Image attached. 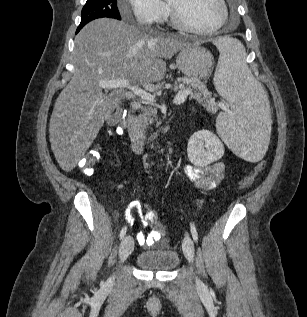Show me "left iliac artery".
I'll use <instances>...</instances> for the list:
<instances>
[{"label":"left iliac artery","mask_w":307,"mask_h":317,"mask_svg":"<svg viewBox=\"0 0 307 317\" xmlns=\"http://www.w3.org/2000/svg\"><path fill=\"white\" fill-rule=\"evenodd\" d=\"M190 227H191V234H192L194 241L198 242V233H197V230H196L194 224L191 223Z\"/></svg>","instance_id":"left-iliac-artery-1"}]
</instances>
